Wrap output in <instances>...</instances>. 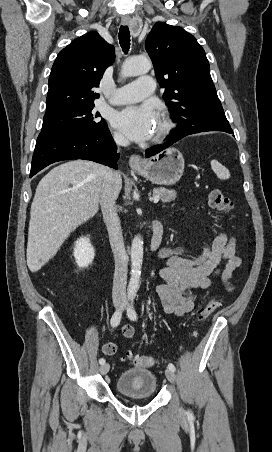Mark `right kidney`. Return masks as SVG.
Returning <instances> with one entry per match:
<instances>
[{"mask_svg": "<svg viewBox=\"0 0 272 452\" xmlns=\"http://www.w3.org/2000/svg\"><path fill=\"white\" fill-rule=\"evenodd\" d=\"M95 251L88 237H80L75 242L74 258L79 267H86L92 263Z\"/></svg>", "mask_w": 272, "mask_h": 452, "instance_id": "ca27d5eb", "label": "right kidney"}]
</instances>
